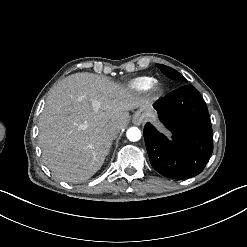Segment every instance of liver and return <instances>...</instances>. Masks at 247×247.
Returning a JSON list of instances; mask_svg holds the SVG:
<instances>
[{
    "mask_svg": "<svg viewBox=\"0 0 247 247\" xmlns=\"http://www.w3.org/2000/svg\"><path fill=\"white\" fill-rule=\"evenodd\" d=\"M91 98L101 103L97 114H93ZM149 101L129 85L106 76L89 72L67 76L50 92L39 117L43 162L63 181L89 179L102 166L111 145L107 129L125 128L129 111Z\"/></svg>",
    "mask_w": 247,
    "mask_h": 247,
    "instance_id": "obj_1",
    "label": "liver"
}]
</instances>
